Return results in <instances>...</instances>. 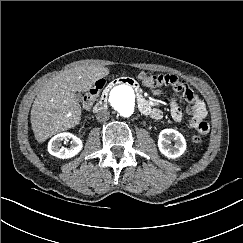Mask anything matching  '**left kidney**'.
<instances>
[{
    "instance_id": "1",
    "label": "left kidney",
    "mask_w": 243,
    "mask_h": 243,
    "mask_svg": "<svg viewBox=\"0 0 243 243\" xmlns=\"http://www.w3.org/2000/svg\"><path fill=\"white\" fill-rule=\"evenodd\" d=\"M171 141L175 142L172 146ZM158 148L168 158L180 157L186 150V141L183 135L174 129H164L159 134Z\"/></svg>"
}]
</instances>
